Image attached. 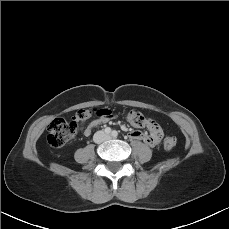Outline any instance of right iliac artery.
<instances>
[{"mask_svg": "<svg viewBox=\"0 0 229 229\" xmlns=\"http://www.w3.org/2000/svg\"><path fill=\"white\" fill-rule=\"evenodd\" d=\"M105 133L106 134H110L111 133V128L110 127L105 128Z\"/></svg>", "mask_w": 229, "mask_h": 229, "instance_id": "1", "label": "right iliac artery"}]
</instances>
